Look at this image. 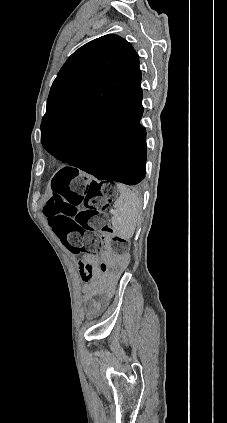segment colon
Instances as JSON below:
<instances>
[{"label":"colon","mask_w":227,"mask_h":423,"mask_svg":"<svg viewBox=\"0 0 227 423\" xmlns=\"http://www.w3.org/2000/svg\"><path fill=\"white\" fill-rule=\"evenodd\" d=\"M114 188L91 182L72 170L55 174L52 193L42 212L54 233L73 253L93 254L102 248L101 232L112 233L106 225V209L114 198ZM112 249L119 257L128 252L124 239L114 236ZM83 280L94 276L91 265L79 263Z\"/></svg>","instance_id":"obj_1"}]
</instances>
